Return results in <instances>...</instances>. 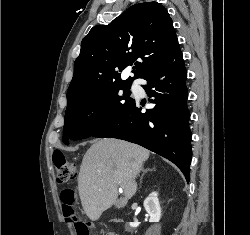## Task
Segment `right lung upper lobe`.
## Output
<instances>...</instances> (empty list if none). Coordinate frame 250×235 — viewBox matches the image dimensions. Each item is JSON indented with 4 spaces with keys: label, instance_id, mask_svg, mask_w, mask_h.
Listing matches in <instances>:
<instances>
[{
    "label": "right lung upper lobe",
    "instance_id": "obj_1",
    "mask_svg": "<svg viewBox=\"0 0 250 235\" xmlns=\"http://www.w3.org/2000/svg\"><path fill=\"white\" fill-rule=\"evenodd\" d=\"M176 41L172 19L157 2L133 5L110 24L94 26L82 40L68 103L108 86L130 87L163 61ZM133 62L134 77L121 80V72Z\"/></svg>",
    "mask_w": 250,
    "mask_h": 235
}]
</instances>
